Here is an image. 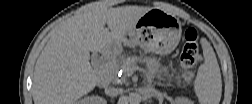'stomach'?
<instances>
[{"label": "stomach", "instance_id": "obj_1", "mask_svg": "<svg viewBox=\"0 0 252 104\" xmlns=\"http://www.w3.org/2000/svg\"><path fill=\"white\" fill-rule=\"evenodd\" d=\"M181 34L182 25L178 18L153 8L125 35L124 45L139 46L147 52L166 55L177 47Z\"/></svg>", "mask_w": 252, "mask_h": 104}]
</instances>
